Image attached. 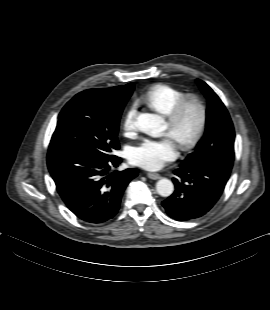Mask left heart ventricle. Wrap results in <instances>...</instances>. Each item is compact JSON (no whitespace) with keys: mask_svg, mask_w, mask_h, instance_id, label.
Here are the masks:
<instances>
[{"mask_svg":"<svg viewBox=\"0 0 270 310\" xmlns=\"http://www.w3.org/2000/svg\"><path fill=\"white\" fill-rule=\"evenodd\" d=\"M196 120H197L196 113L193 110H189L185 114V116L182 120L181 133L182 134L190 133L196 125ZM166 129L168 130V125H166Z\"/></svg>","mask_w":270,"mask_h":310,"instance_id":"1","label":"left heart ventricle"}]
</instances>
